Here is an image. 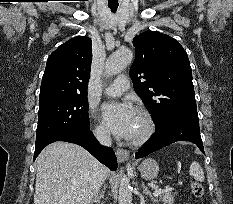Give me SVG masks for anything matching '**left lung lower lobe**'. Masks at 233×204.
Segmentation results:
<instances>
[{
    "label": "left lung lower lobe",
    "instance_id": "left-lung-lower-lobe-1",
    "mask_svg": "<svg viewBox=\"0 0 233 204\" xmlns=\"http://www.w3.org/2000/svg\"><path fill=\"white\" fill-rule=\"evenodd\" d=\"M155 126V134L136 152L134 159L146 157L176 141L192 142L204 152L198 118L171 117L165 121L155 122Z\"/></svg>",
    "mask_w": 233,
    "mask_h": 204
}]
</instances>
